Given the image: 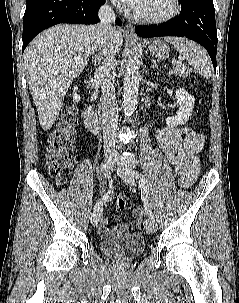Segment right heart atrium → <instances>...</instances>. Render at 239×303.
Wrapping results in <instances>:
<instances>
[{"label": "right heart atrium", "instance_id": "right-heart-atrium-1", "mask_svg": "<svg viewBox=\"0 0 239 303\" xmlns=\"http://www.w3.org/2000/svg\"><path fill=\"white\" fill-rule=\"evenodd\" d=\"M106 4L111 8H119L120 5L118 3V0H107Z\"/></svg>", "mask_w": 239, "mask_h": 303}]
</instances>
